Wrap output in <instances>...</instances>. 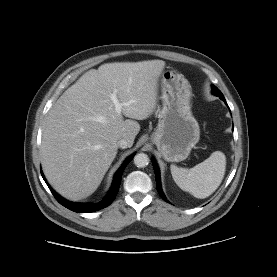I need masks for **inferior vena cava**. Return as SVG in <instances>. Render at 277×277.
<instances>
[{"label":"inferior vena cava","mask_w":277,"mask_h":277,"mask_svg":"<svg viewBox=\"0 0 277 277\" xmlns=\"http://www.w3.org/2000/svg\"><path fill=\"white\" fill-rule=\"evenodd\" d=\"M117 144H118V147H120V148H122V149H125V148H127V147H130V143H129V141L128 140H126V139H121V140H119L118 142H117Z\"/></svg>","instance_id":"inferior-vena-cava-1"}]
</instances>
